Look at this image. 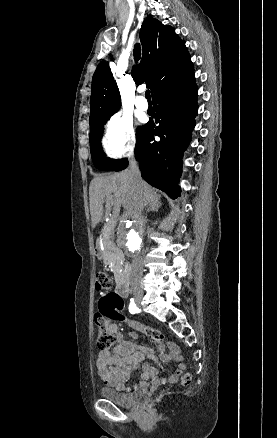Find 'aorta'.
<instances>
[{
    "label": "aorta",
    "instance_id": "1",
    "mask_svg": "<svg viewBox=\"0 0 277 438\" xmlns=\"http://www.w3.org/2000/svg\"><path fill=\"white\" fill-rule=\"evenodd\" d=\"M145 225L140 218H134L130 221H122L118 233V246L129 255H137L144 243Z\"/></svg>",
    "mask_w": 277,
    "mask_h": 438
}]
</instances>
